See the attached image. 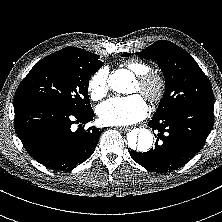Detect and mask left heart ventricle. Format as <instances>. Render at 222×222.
<instances>
[{
  "instance_id": "obj_1",
  "label": "left heart ventricle",
  "mask_w": 222,
  "mask_h": 222,
  "mask_svg": "<svg viewBox=\"0 0 222 222\" xmlns=\"http://www.w3.org/2000/svg\"><path fill=\"white\" fill-rule=\"evenodd\" d=\"M138 91H140V87H139V84L136 82V83L134 84V87H133L132 92H138Z\"/></svg>"
}]
</instances>
